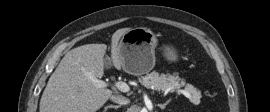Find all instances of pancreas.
Listing matches in <instances>:
<instances>
[{
	"instance_id": "cf45deb5",
	"label": "pancreas",
	"mask_w": 270,
	"mask_h": 112,
	"mask_svg": "<svg viewBox=\"0 0 270 112\" xmlns=\"http://www.w3.org/2000/svg\"><path fill=\"white\" fill-rule=\"evenodd\" d=\"M139 82L146 88H152L156 91L166 92L171 89H179L185 85V81L180 79L177 74L166 75L158 72H151L146 76L139 78ZM185 90L190 94V101L198 105L201 99V92L194 88L193 85H185Z\"/></svg>"
}]
</instances>
